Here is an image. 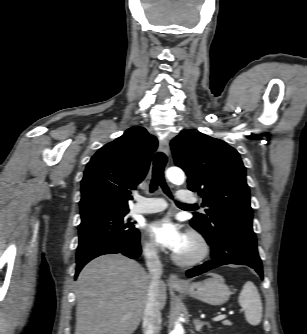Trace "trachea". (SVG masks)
<instances>
[{
	"instance_id": "obj_1",
	"label": "trachea",
	"mask_w": 307,
	"mask_h": 334,
	"mask_svg": "<svg viewBox=\"0 0 307 334\" xmlns=\"http://www.w3.org/2000/svg\"><path fill=\"white\" fill-rule=\"evenodd\" d=\"M166 163H167L166 155L162 152H157L153 160V171H152V180L150 184V191L154 192L158 188V186H160L163 189L164 193L172 198L170 190L168 186L166 185V182L164 179V168H165ZM176 203L178 205L187 206L190 208L196 207L195 205H191V204H183L179 202H176Z\"/></svg>"
}]
</instances>
